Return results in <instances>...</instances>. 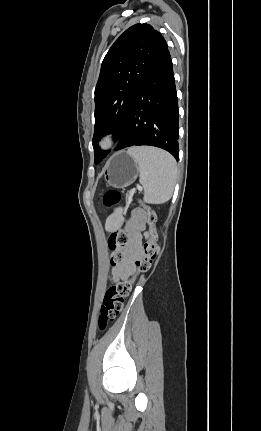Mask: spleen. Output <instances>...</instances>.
<instances>
[{"label":"spleen","instance_id":"spleen-1","mask_svg":"<svg viewBox=\"0 0 261 431\" xmlns=\"http://www.w3.org/2000/svg\"><path fill=\"white\" fill-rule=\"evenodd\" d=\"M127 153L138 165L139 181L144 188V202H167L172 196L177 177L174 157L153 147H131Z\"/></svg>","mask_w":261,"mask_h":431}]
</instances>
